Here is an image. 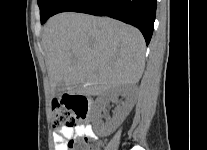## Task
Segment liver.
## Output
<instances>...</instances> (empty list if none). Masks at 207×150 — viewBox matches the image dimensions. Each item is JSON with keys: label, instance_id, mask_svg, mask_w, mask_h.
<instances>
[{"label": "liver", "instance_id": "1", "mask_svg": "<svg viewBox=\"0 0 207 150\" xmlns=\"http://www.w3.org/2000/svg\"><path fill=\"white\" fill-rule=\"evenodd\" d=\"M42 46L52 94L63 81L69 93L101 95L138 83L144 71L141 32L111 18L57 14L43 29Z\"/></svg>", "mask_w": 207, "mask_h": 150}]
</instances>
